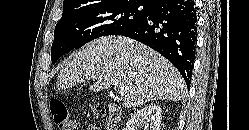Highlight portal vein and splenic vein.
<instances>
[{
    "label": "portal vein and splenic vein",
    "instance_id": "1",
    "mask_svg": "<svg viewBox=\"0 0 249 130\" xmlns=\"http://www.w3.org/2000/svg\"><path fill=\"white\" fill-rule=\"evenodd\" d=\"M126 89H127V88H125L124 86H121V87L118 88V93H119L120 95H124L125 92H126Z\"/></svg>",
    "mask_w": 249,
    "mask_h": 130
}]
</instances>
